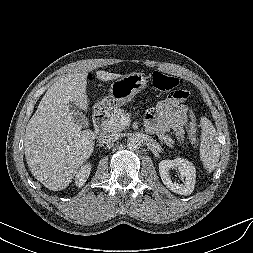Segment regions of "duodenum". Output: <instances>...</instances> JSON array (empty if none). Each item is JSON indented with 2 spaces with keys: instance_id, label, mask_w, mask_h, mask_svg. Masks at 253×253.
<instances>
[{
  "instance_id": "410a0bca",
  "label": "duodenum",
  "mask_w": 253,
  "mask_h": 253,
  "mask_svg": "<svg viewBox=\"0 0 253 253\" xmlns=\"http://www.w3.org/2000/svg\"><path fill=\"white\" fill-rule=\"evenodd\" d=\"M105 122H106V114L98 110L93 117V126L98 136H102L105 133Z\"/></svg>"
}]
</instances>
